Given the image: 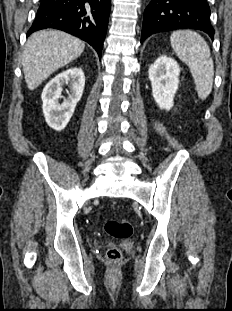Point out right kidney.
<instances>
[{
  "label": "right kidney",
  "instance_id": "ca27d5eb",
  "mask_svg": "<svg viewBox=\"0 0 232 311\" xmlns=\"http://www.w3.org/2000/svg\"><path fill=\"white\" fill-rule=\"evenodd\" d=\"M69 84L70 91L62 103L61 92ZM85 85V75L81 68L74 67L59 73L51 79L42 92L43 113L47 124L56 131L63 130L70 121L76 104L81 99Z\"/></svg>",
  "mask_w": 232,
  "mask_h": 311
}]
</instances>
